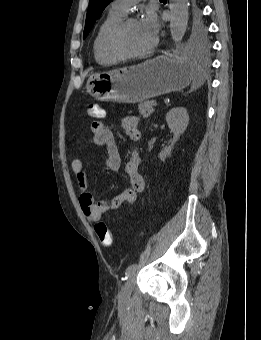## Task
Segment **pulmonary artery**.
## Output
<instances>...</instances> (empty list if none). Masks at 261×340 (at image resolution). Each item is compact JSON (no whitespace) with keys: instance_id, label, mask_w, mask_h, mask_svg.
I'll list each match as a JSON object with an SVG mask.
<instances>
[{"instance_id":"e3ab8cb5","label":"pulmonary artery","mask_w":261,"mask_h":340,"mask_svg":"<svg viewBox=\"0 0 261 340\" xmlns=\"http://www.w3.org/2000/svg\"><path fill=\"white\" fill-rule=\"evenodd\" d=\"M139 0H115L111 4V9L123 15H126L129 8Z\"/></svg>"}]
</instances>
